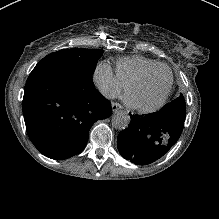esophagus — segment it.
<instances>
[{
	"label": "esophagus",
	"mask_w": 219,
	"mask_h": 219,
	"mask_svg": "<svg viewBox=\"0 0 219 219\" xmlns=\"http://www.w3.org/2000/svg\"><path fill=\"white\" fill-rule=\"evenodd\" d=\"M111 106H112V111H117V110L122 108V106L119 103H116V102H112Z\"/></svg>",
	"instance_id": "34e87169"
}]
</instances>
